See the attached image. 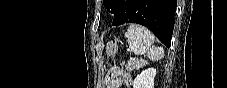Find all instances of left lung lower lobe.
<instances>
[{
    "instance_id": "obj_1",
    "label": "left lung lower lobe",
    "mask_w": 227,
    "mask_h": 88,
    "mask_svg": "<svg viewBox=\"0 0 227 88\" xmlns=\"http://www.w3.org/2000/svg\"><path fill=\"white\" fill-rule=\"evenodd\" d=\"M176 6V0H119L112 25L141 24L169 47Z\"/></svg>"
}]
</instances>
